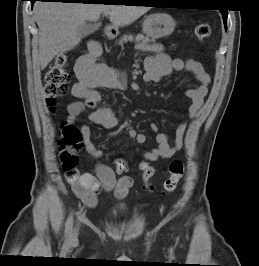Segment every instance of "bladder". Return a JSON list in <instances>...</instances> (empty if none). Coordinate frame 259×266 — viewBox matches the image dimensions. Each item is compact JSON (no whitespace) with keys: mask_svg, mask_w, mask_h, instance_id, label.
Masks as SVG:
<instances>
[{"mask_svg":"<svg viewBox=\"0 0 259 266\" xmlns=\"http://www.w3.org/2000/svg\"><path fill=\"white\" fill-rule=\"evenodd\" d=\"M123 211H124V207L122 205L113 207L109 212V216L116 217L120 215Z\"/></svg>","mask_w":259,"mask_h":266,"instance_id":"31cf9c89","label":"bladder"}]
</instances>
